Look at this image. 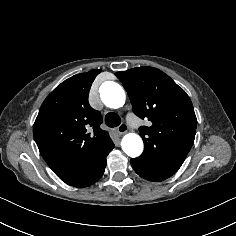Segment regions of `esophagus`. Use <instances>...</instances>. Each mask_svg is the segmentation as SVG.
I'll return each mask as SVG.
<instances>
[{
  "label": "esophagus",
  "mask_w": 236,
  "mask_h": 236,
  "mask_svg": "<svg viewBox=\"0 0 236 236\" xmlns=\"http://www.w3.org/2000/svg\"><path fill=\"white\" fill-rule=\"evenodd\" d=\"M117 131L120 135L125 134L128 131V127L125 123H122L118 126Z\"/></svg>",
  "instance_id": "1"
}]
</instances>
